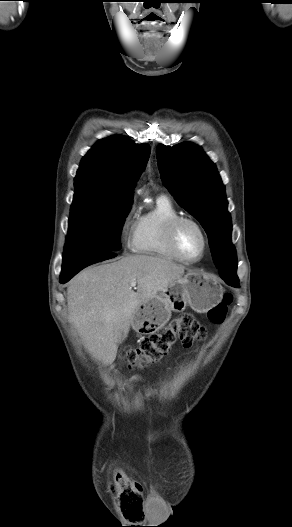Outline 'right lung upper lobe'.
I'll list each match as a JSON object with an SVG mask.
<instances>
[{
  "label": "right lung upper lobe",
  "mask_w": 292,
  "mask_h": 527,
  "mask_svg": "<svg viewBox=\"0 0 292 527\" xmlns=\"http://www.w3.org/2000/svg\"><path fill=\"white\" fill-rule=\"evenodd\" d=\"M149 155L148 144L138 145L124 136L100 140L83 157L75 190L96 191L116 201L132 200Z\"/></svg>",
  "instance_id": "cb5924a9"
}]
</instances>
